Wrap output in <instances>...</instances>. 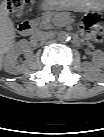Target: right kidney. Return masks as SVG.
<instances>
[{
  "instance_id": "obj_1",
  "label": "right kidney",
  "mask_w": 104,
  "mask_h": 137,
  "mask_svg": "<svg viewBox=\"0 0 104 137\" xmlns=\"http://www.w3.org/2000/svg\"><path fill=\"white\" fill-rule=\"evenodd\" d=\"M30 53V48L26 40H20L15 43L13 47L7 52V55L4 57L2 64L6 72L18 75L21 74L24 70V64L22 66L17 65V58L20 54Z\"/></svg>"
}]
</instances>
